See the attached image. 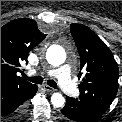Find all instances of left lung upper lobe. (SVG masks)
I'll return each instance as SVG.
<instances>
[{"instance_id": "left-lung-upper-lobe-1", "label": "left lung upper lobe", "mask_w": 122, "mask_h": 122, "mask_svg": "<svg viewBox=\"0 0 122 122\" xmlns=\"http://www.w3.org/2000/svg\"><path fill=\"white\" fill-rule=\"evenodd\" d=\"M70 32L80 54L79 99L108 109L118 90V65L111 50L87 26L71 24Z\"/></svg>"}]
</instances>
